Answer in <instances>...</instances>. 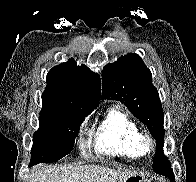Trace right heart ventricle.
<instances>
[{
  "label": "right heart ventricle",
  "mask_w": 196,
  "mask_h": 182,
  "mask_svg": "<svg viewBox=\"0 0 196 182\" xmlns=\"http://www.w3.org/2000/svg\"><path fill=\"white\" fill-rule=\"evenodd\" d=\"M139 126L118 108H111L99 123L95 134L98 153L136 159L144 155L139 144Z\"/></svg>",
  "instance_id": "e07e8e85"
}]
</instances>
